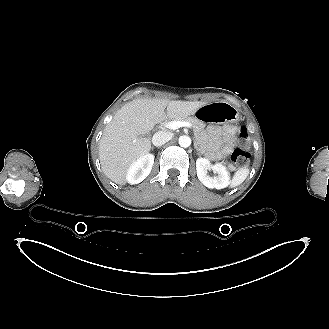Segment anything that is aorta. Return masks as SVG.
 <instances>
[{
    "instance_id": "762f6f07",
    "label": "aorta",
    "mask_w": 329,
    "mask_h": 329,
    "mask_svg": "<svg viewBox=\"0 0 329 329\" xmlns=\"http://www.w3.org/2000/svg\"><path fill=\"white\" fill-rule=\"evenodd\" d=\"M179 145L183 148L189 147L191 145V138L186 135L181 136L179 138Z\"/></svg>"
}]
</instances>
